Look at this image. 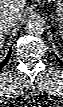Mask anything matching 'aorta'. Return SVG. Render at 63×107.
<instances>
[{
  "label": "aorta",
  "mask_w": 63,
  "mask_h": 107,
  "mask_svg": "<svg viewBox=\"0 0 63 107\" xmlns=\"http://www.w3.org/2000/svg\"><path fill=\"white\" fill-rule=\"evenodd\" d=\"M44 29V22L39 18H31L26 24V31L30 35H41L44 32Z\"/></svg>",
  "instance_id": "762f6f07"
}]
</instances>
